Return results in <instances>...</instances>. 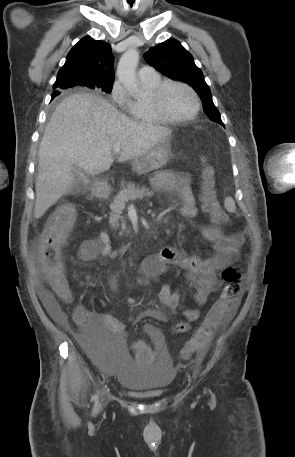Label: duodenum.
Returning <instances> with one entry per match:
<instances>
[{
	"mask_svg": "<svg viewBox=\"0 0 295 457\" xmlns=\"http://www.w3.org/2000/svg\"><path fill=\"white\" fill-rule=\"evenodd\" d=\"M98 197L106 199L109 196V192L106 189H100L97 192Z\"/></svg>",
	"mask_w": 295,
	"mask_h": 457,
	"instance_id": "1",
	"label": "duodenum"
}]
</instances>
